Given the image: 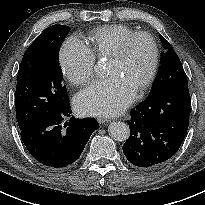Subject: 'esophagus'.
Returning a JSON list of instances; mask_svg holds the SVG:
<instances>
[{"label":"esophagus","instance_id":"obj_1","mask_svg":"<svg viewBox=\"0 0 205 205\" xmlns=\"http://www.w3.org/2000/svg\"><path fill=\"white\" fill-rule=\"evenodd\" d=\"M97 122H98L99 124H104V123L109 122V120H108V119H105V118H100V117H98V118H97Z\"/></svg>","mask_w":205,"mask_h":205}]
</instances>
